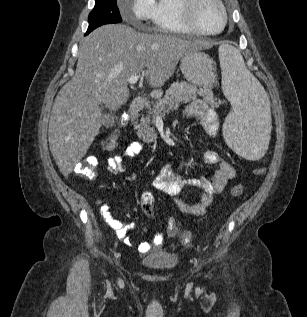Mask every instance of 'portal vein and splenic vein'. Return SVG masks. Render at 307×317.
I'll use <instances>...</instances> for the list:
<instances>
[{
    "label": "portal vein and splenic vein",
    "mask_w": 307,
    "mask_h": 317,
    "mask_svg": "<svg viewBox=\"0 0 307 317\" xmlns=\"http://www.w3.org/2000/svg\"><path fill=\"white\" fill-rule=\"evenodd\" d=\"M139 80V76L138 75H133L131 77L128 78V83L129 84H135L137 83Z\"/></svg>",
    "instance_id": "18ae733b"
}]
</instances>
